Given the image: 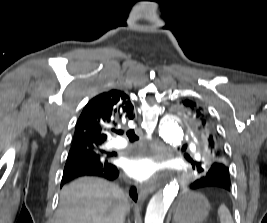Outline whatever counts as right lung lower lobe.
Wrapping results in <instances>:
<instances>
[{
    "mask_svg": "<svg viewBox=\"0 0 267 223\" xmlns=\"http://www.w3.org/2000/svg\"><path fill=\"white\" fill-rule=\"evenodd\" d=\"M83 176H96L113 181L118 178L119 170L115 165L110 164L101 168L96 166H89L73 172L63 173L61 186L68 181ZM130 196L134 201H137L138 195L137 190L134 186H132L130 189Z\"/></svg>",
    "mask_w": 267,
    "mask_h": 223,
    "instance_id": "98d812e1",
    "label": "right lung lower lobe"
}]
</instances>
